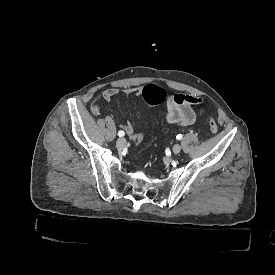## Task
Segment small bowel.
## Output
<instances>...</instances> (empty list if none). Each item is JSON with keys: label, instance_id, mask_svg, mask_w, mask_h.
Returning <instances> with one entry per match:
<instances>
[{"label": "small bowel", "instance_id": "1", "mask_svg": "<svg viewBox=\"0 0 275 275\" xmlns=\"http://www.w3.org/2000/svg\"><path fill=\"white\" fill-rule=\"evenodd\" d=\"M141 93V87H130L124 90H119L117 88L106 89L98 96H96L91 102V113L95 117L99 116L101 111V104L103 102H109L119 95L129 97L140 96ZM202 103V99L182 93H177L170 96L166 101L167 123L182 127L194 124L198 119L199 114L194 111L193 106L201 105ZM202 111L203 110H201V112ZM121 127L129 136L132 137V133L135 129L130 122L122 123Z\"/></svg>", "mask_w": 275, "mask_h": 275}]
</instances>
